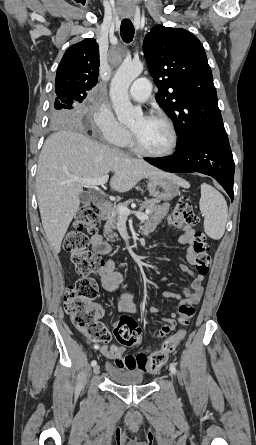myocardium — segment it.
I'll return each instance as SVG.
<instances>
[{
	"label": "myocardium",
	"instance_id": "obj_1",
	"mask_svg": "<svg viewBox=\"0 0 256 445\" xmlns=\"http://www.w3.org/2000/svg\"><path fill=\"white\" fill-rule=\"evenodd\" d=\"M145 119H149V120H156V121H160L162 123H164L171 134V143L169 148L164 151V152H151L147 149H145L142 144L140 143L138 137L136 136V134L133 131H130V135H131V144L132 147L141 155L146 156V157H151V158H166L171 156L177 149L178 146V133L176 130V127L174 125V123L172 122V120L170 118H168L165 115L162 114H157V113H152V114H148L144 117Z\"/></svg>",
	"mask_w": 256,
	"mask_h": 445
}]
</instances>
